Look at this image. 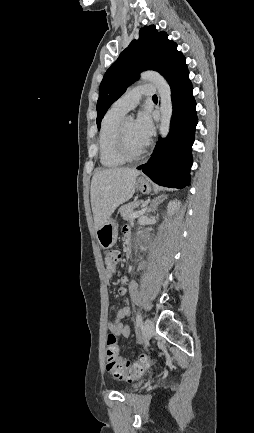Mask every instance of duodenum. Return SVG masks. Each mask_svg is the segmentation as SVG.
<instances>
[{
  "label": "duodenum",
  "instance_id": "duodenum-1",
  "mask_svg": "<svg viewBox=\"0 0 254 433\" xmlns=\"http://www.w3.org/2000/svg\"><path fill=\"white\" fill-rule=\"evenodd\" d=\"M126 248L128 251H130L132 249V240L130 237L126 241Z\"/></svg>",
  "mask_w": 254,
  "mask_h": 433
}]
</instances>
